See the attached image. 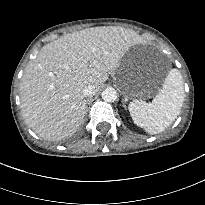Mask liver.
Instances as JSON below:
<instances>
[{
    "label": "liver",
    "instance_id": "liver-1",
    "mask_svg": "<svg viewBox=\"0 0 205 205\" xmlns=\"http://www.w3.org/2000/svg\"><path fill=\"white\" fill-rule=\"evenodd\" d=\"M137 41L121 27H92L66 34L43 46L28 64L20 84L22 115L40 137L58 141L83 122L84 87L98 91Z\"/></svg>",
    "mask_w": 205,
    "mask_h": 205
}]
</instances>
